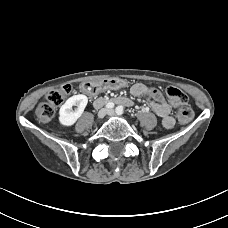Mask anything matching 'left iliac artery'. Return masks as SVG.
Listing matches in <instances>:
<instances>
[{
    "label": "left iliac artery",
    "instance_id": "44dca946",
    "mask_svg": "<svg viewBox=\"0 0 228 228\" xmlns=\"http://www.w3.org/2000/svg\"><path fill=\"white\" fill-rule=\"evenodd\" d=\"M116 113H117L118 115H122V114L124 113V108H123V106H118V107H116Z\"/></svg>",
    "mask_w": 228,
    "mask_h": 228
}]
</instances>
